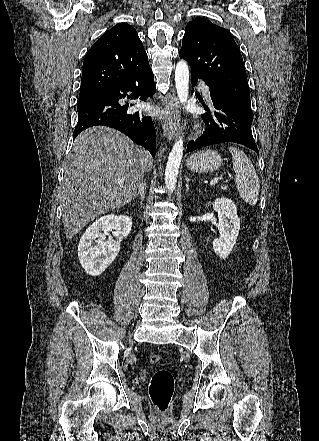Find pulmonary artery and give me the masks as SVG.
Instances as JSON below:
<instances>
[{
    "label": "pulmonary artery",
    "mask_w": 319,
    "mask_h": 441,
    "mask_svg": "<svg viewBox=\"0 0 319 441\" xmlns=\"http://www.w3.org/2000/svg\"><path fill=\"white\" fill-rule=\"evenodd\" d=\"M202 93L205 97L210 98V91L208 87L204 84H201Z\"/></svg>",
    "instance_id": "1"
}]
</instances>
